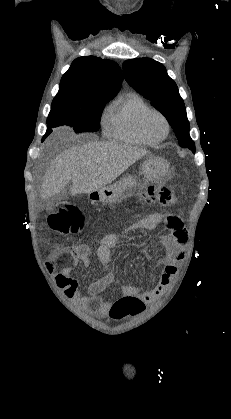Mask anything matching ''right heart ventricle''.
Here are the masks:
<instances>
[{"instance_id": "e07e8e85", "label": "right heart ventricle", "mask_w": 231, "mask_h": 419, "mask_svg": "<svg viewBox=\"0 0 231 419\" xmlns=\"http://www.w3.org/2000/svg\"><path fill=\"white\" fill-rule=\"evenodd\" d=\"M149 108L143 98L137 94L130 93L117 99L105 117V135L111 140L126 144H148L140 135L137 122L139 116Z\"/></svg>"}]
</instances>
